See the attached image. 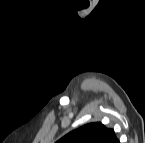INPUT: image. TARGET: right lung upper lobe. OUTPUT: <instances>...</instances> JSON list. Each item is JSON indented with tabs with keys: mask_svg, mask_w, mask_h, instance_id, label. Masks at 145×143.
Segmentation results:
<instances>
[{
	"mask_svg": "<svg viewBox=\"0 0 145 143\" xmlns=\"http://www.w3.org/2000/svg\"><path fill=\"white\" fill-rule=\"evenodd\" d=\"M57 143H119L112 129L102 123H90L65 135Z\"/></svg>",
	"mask_w": 145,
	"mask_h": 143,
	"instance_id": "1",
	"label": "right lung upper lobe"
}]
</instances>
